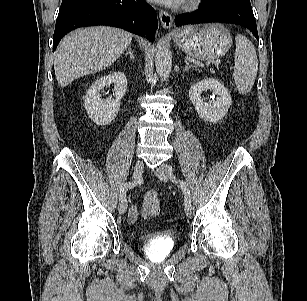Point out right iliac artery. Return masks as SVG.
I'll use <instances>...</instances> for the list:
<instances>
[{
    "instance_id": "obj_1",
    "label": "right iliac artery",
    "mask_w": 307,
    "mask_h": 301,
    "mask_svg": "<svg viewBox=\"0 0 307 301\" xmlns=\"http://www.w3.org/2000/svg\"><path fill=\"white\" fill-rule=\"evenodd\" d=\"M135 186L134 182H126L120 190V194H119V201L123 202L125 200L126 197V192L128 191V189H131Z\"/></svg>"
}]
</instances>
